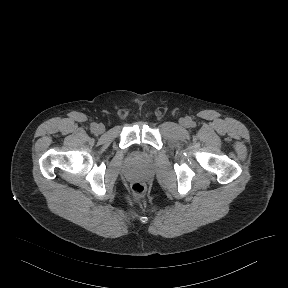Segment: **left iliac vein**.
Masks as SVG:
<instances>
[{"label":"left iliac vein","mask_w":288,"mask_h":288,"mask_svg":"<svg viewBox=\"0 0 288 288\" xmlns=\"http://www.w3.org/2000/svg\"><path fill=\"white\" fill-rule=\"evenodd\" d=\"M180 124L182 126L186 127L189 125V121H188V119L182 118V119H180Z\"/></svg>","instance_id":"obj_1"}]
</instances>
